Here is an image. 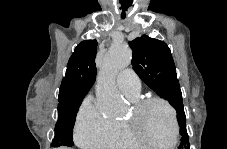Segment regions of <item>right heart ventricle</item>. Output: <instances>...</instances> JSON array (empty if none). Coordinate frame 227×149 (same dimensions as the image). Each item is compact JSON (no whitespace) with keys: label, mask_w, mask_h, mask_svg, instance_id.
Masks as SVG:
<instances>
[{"label":"right heart ventricle","mask_w":227,"mask_h":149,"mask_svg":"<svg viewBox=\"0 0 227 149\" xmlns=\"http://www.w3.org/2000/svg\"><path fill=\"white\" fill-rule=\"evenodd\" d=\"M133 102L138 100V97H129ZM110 146L116 149H134L143 146L129 132L125 120L115 121V132Z\"/></svg>","instance_id":"e07e8e85"}]
</instances>
